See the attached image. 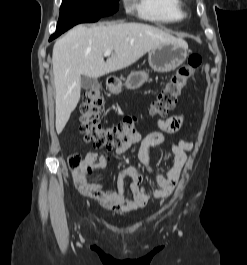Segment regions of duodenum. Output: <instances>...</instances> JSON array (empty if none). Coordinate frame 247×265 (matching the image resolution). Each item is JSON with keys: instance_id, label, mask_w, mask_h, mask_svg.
Segmentation results:
<instances>
[{"instance_id": "1", "label": "duodenum", "mask_w": 247, "mask_h": 265, "mask_svg": "<svg viewBox=\"0 0 247 265\" xmlns=\"http://www.w3.org/2000/svg\"><path fill=\"white\" fill-rule=\"evenodd\" d=\"M117 84V80L114 77H109L108 78V86L109 87H114Z\"/></svg>"}]
</instances>
